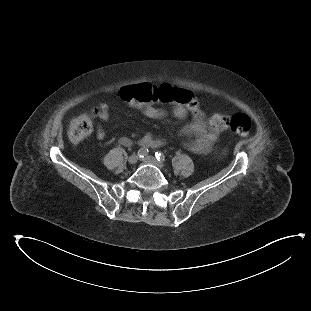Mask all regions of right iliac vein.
Wrapping results in <instances>:
<instances>
[{
  "instance_id": "obj_1",
  "label": "right iliac vein",
  "mask_w": 311,
  "mask_h": 311,
  "mask_svg": "<svg viewBox=\"0 0 311 311\" xmlns=\"http://www.w3.org/2000/svg\"><path fill=\"white\" fill-rule=\"evenodd\" d=\"M138 159H139L138 155L133 154V155H131V156L128 158V163L131 164V165H133V164L137 163Z\"/></svg>"
}]
</instances>
